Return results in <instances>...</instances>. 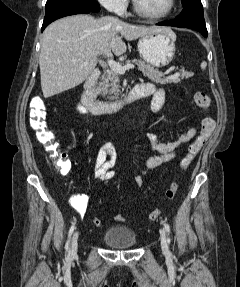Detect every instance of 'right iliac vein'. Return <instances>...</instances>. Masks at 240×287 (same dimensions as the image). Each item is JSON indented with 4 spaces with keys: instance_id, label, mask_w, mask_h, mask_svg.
Returning a JSON list of instances; mask_svg holds the SVG:
<instances>
[{
    "instance_id": "63e3f726",
    "label": "right iliac vein",
    "mask_w": 240,
    "mask_h": 287,
    "mask_svg": "<svg viewBox=\"0 0 240 287\" xmlns=\"http://www.w3.org/2000/svg\"><path fill=\"white\" fill-rule=\"evenodd\" d=\"M78 237H79L78 232H75V233L73 234V237H72V249H71V254H72V255H75V254L77 253Z\"/></svg>"
}]
</instances>
